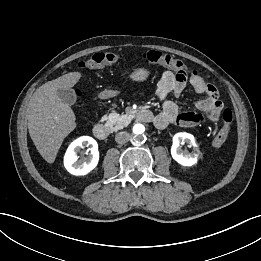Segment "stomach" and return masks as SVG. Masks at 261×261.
Segmentation results:
<instances>
[{"instance_id": "1", "label": "stomach", "mask_w": 261, "mask_h": 261, "mask_svg": "<svg viewBox=\"0 0 261 261\" xmlns=\"http://www.w3.org/2000/svg\"><path fill=\"white\" fill-rule=\"evenodd\" d=\"M150 72L145 69V68H138L135 69L131 74H130V79L132 81H136V82H143L145 81L148 76H149ZM118 94L117 91L114 90H105L103 92L100 93V97L101 98H110V97H114Z\"/></svg>"}]
</instances>
